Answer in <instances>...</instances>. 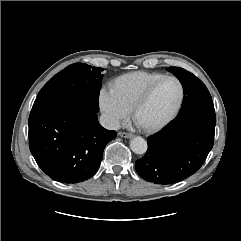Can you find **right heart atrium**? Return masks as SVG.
<instances>
[{
    "label": "right heart atrium",
    "mask_w": 241,
    "mask_h": 241,
    "mask_svg": "<svg viewBox=\"0 0 241 241\" xmlns=\"http://www.w3.org/2000/svg\"><path fill=\"white\" fill-rule=\"evenodd\" d=\"M98 103L104 120L110 128H117L130 111L111 88L103 87L100 89Z\"/></svg>",
    "instance_id": "1"
}]
</instances>
